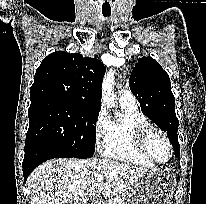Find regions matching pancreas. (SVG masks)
Returning <instances> with one entry per match:
<instances>
[{"label": "pancreas", "mask_w": 206, "mask_h": 204, "mask_svg": "<svg viewBox=\"0 0 206 204\" xmlns=\"http://www.w3.org/2000/svg\"><path fill=\"white\" fill-rule=\"evenodd\" d=\"M105 204H124V197L122 195H117L116 197L106 201Z\"/></svg>", "instance_id": "cf45deb5"}]
</instances>
